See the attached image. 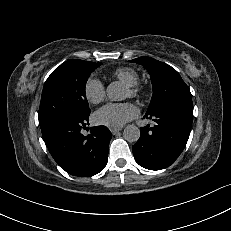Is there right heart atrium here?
Returning <instances> with one entry per match:
<instances>
[{"label":"right heart atrium","mask_w":231,"mask_h":231,"mask_svg":"<svg viewBox=\"0 0 231 231\" xmlns=\"http://www.w3.org/2000/svg\"><path fill=\"white\" fill-rule=\"evenodd\" d=\"M86 99L92 104H99L105 98V88L102 82L97 78H90L84 86Z\"/></svg>","instance_id":"right-heart-atrium-1"}]
</instances>
